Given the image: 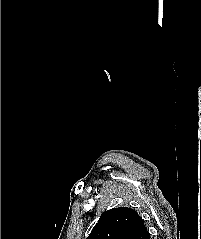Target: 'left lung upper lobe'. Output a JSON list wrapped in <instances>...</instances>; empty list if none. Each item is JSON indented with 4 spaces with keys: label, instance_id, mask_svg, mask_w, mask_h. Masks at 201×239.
<instances>
[{
    "label": "left lung upper lobe",
    "instance_id": "1",
    "mask_svg": "<svg viewBox=\"0 0 201 239\" xmlns=\"http://www.w3.org/2000/svg\"><path fill=\"white\" fill-rule=\"evenodd\" d=\"M149 236L137 212L120 207L106 211L87 239H149Z\"/></svg>",
    "mask_w": 201,
    "mask_h": 239
}]
</instances>
